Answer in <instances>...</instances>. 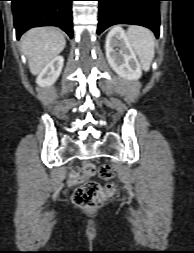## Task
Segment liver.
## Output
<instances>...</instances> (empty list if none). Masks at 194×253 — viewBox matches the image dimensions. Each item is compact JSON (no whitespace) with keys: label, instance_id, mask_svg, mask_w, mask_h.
Listing matches in <instances>:
<instances>
[{"label":"liver","instance_id":"1","mask_svg":"<svg viewBox=\"0 0 194 253\" xmlns=\"http://www.w3.org/2000/svg\"><path fill=\"white\" fill-rule=\"evenodd\" d=\"M62 31L55 27H36L27 31L21 40V50L28 59L30 72L37 75L65 48Z\"/></svg>","mask_w":194,"mask_h":253}]
</instances>
